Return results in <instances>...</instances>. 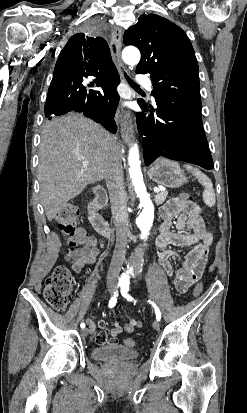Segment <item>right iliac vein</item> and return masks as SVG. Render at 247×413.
<instances>
[{
  "label": "right iliac vein",
  "instance_id": "obj_1",
  "mask_svg": "<svg viewBox=\"0 0 247 413\" xmlns=\"http://www.w3.org/2000/svg\"><path fill=\"white\" fill-rule=\"evenodd\" d=\"M109 291H110V293H113L114 287H110V288H109ZM88 334H89V329H88V328H85V329H82V330H81V336H82V337H87Z\"/></svg>",
  "mask_w": 247,
  "mask_h": 413
}]
</instances>
